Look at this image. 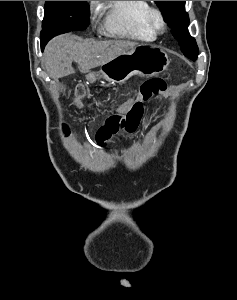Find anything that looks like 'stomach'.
<instances>
[{
    "label": "stomach",
    "instance_id": "1",
    "mask_svg": "<svg viewBox=\"0 0 237 300\" xmlns=\"http://www.w3.org/2000/svg\"><path fill=\"white\" fill-rule=\"evenodd\" d=\"M168 65V55L160 47L137 45L101 65L99 77L109 83H125L132 75L156 77L166 71Z\"/></svg>",
    "mask_w": 237,
    "mask_h": 300
}]
</instances>
